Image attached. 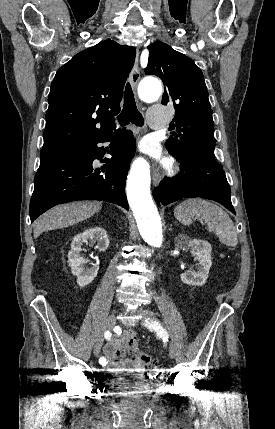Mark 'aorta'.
<instances>
[{"instance_id":"obj_1","label":"aorta","mask_w":275,"mask_h":429,"mask_svg":"<svg viewBox=\"0 0 275 429\" xmlns=\"http://www.w3.org/2000/svg\"><path fill=\"white\" fill-rule=\"evenodd\" d=\"M162 85L156 79H147L139 87V95L145 102L158 100ZM150 171L146 164L136 161L127 179L129 205L142 238L153 247H161L163 233L161 220L150 194Z\"/></svg>"}]
</instances>
